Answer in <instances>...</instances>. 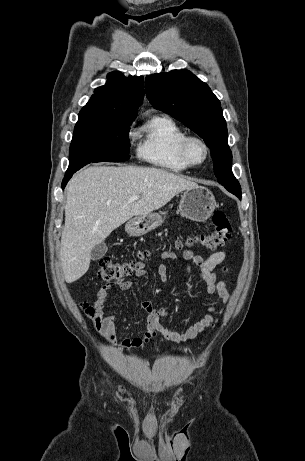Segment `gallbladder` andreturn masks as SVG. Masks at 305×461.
Segmentation results:
<instances>
[{"instance_id":"gallbladder-1","label":"gallbladder","mask_w":305,"mask_h":461,"mask_svg":"<svg viewBox=\"0 0 305 461\" xmlns=\"http://www.w3.org/2000/svg\"><path fill=\"white\" fill-rule=\"evenodd\" d=\"M107 250L108 247L105 242L97 244L91 250V259L94 261L101 259L106 254Z\"/></svg>"}]
</instances>
